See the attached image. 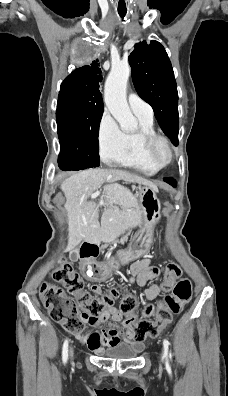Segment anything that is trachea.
I'll return each instance as SVG.
<instances>
[{
  "label": "trachea",
  "instance_id": "trachea-1",
  "mask_svg": "<svg viewBox=\"0 0 228 396\" xmlns=\"http://www.w3.org/2000/svg\"><path fill=\"white\" fill-rule=\"evenodd\" d=\"M121 18H124L126 15V11H118Z\"/></svg>",
  "mask_w": 228,
  "mask_h": 396
}]
</instances>
